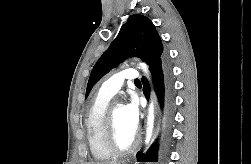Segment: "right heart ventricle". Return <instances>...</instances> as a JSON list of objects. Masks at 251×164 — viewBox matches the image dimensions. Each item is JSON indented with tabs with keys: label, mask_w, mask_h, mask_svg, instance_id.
Listing matches in <instances>:
<instances>
[{
	"label": "right heart ventricle",
	"mask_w": 251,
	"mask_h": 164,
	"mask_svg": "<svg viewBox=\"0 0 251 164\" xmlns=\"http://www.w3.org/2000/svg\"><path fill=\"white\" fill-rule=\"evenodd\" d=\"M110 96L99 93L92 101L85 120L90 152L96 160H108L115 154L109 149L105 138L106 115Z\"/></svg>",
	"instance_id": "e07e8e85"
}]
</instances>
